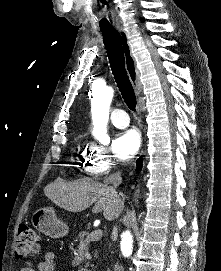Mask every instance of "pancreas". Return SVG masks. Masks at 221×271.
<instances>
[{"label":"pancreas","mask_w":221,"mask_h":271,"mask_svg":"<svg viewBox=\"0 0 221 271\" xmlns=\"http://www.w3.org/2000/svg\"><path fill=\"white\" fill-rule=\"evenodd\" d=\"M88 231H80L78 237H75V242H87L88 239ZM97 257V255H95Z\"/></svg>","instance_id":"1"}]
</instances>
